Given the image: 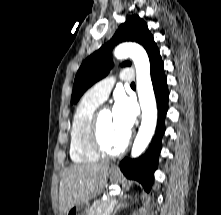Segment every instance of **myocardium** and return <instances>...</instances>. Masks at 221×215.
<instances>
[{"label": "myocardium", "instance_id": "1", "mask_svg": "<svg viewBox=\"0 0 221 215\" xmlns=\"http://www.w3.org/2000/svg\"><path fill=\"white\" fill-rule=\"evenodd\" d=\"M106 109L97 110L93 116L90 130H89V143L91 148L96 154L102 157L114 158L123 155L130 145V137H127L123 146L115 151H111L105 147L101 138L100 122L103 111Z\"/></svg>", "mask_w": 221, "mask_h": 215}]
</instances>
